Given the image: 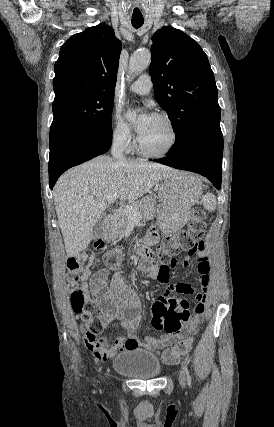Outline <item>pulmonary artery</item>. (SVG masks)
<instances>
[{"instance_id": "e3ab8cb5", "label": "pulmonary artery", "mask_w": 274, "mask_h": 427, "mask_svg": "<svg viewBox=\"0 0 274 427\" xmlns=\"http://www.w3.org/2000/svg\"><path fill=\"white\" fill-rule=\"evenodd\" d=\"M151 88V78L149 75L144 74L129 87V90L138 95H147L150 93Z\"/></svg>"}]
</instances>
